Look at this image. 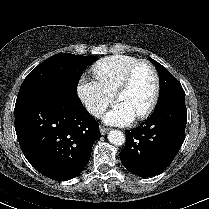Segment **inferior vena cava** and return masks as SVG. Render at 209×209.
<instances>
[{"mask_svg": "<svg viewBox=\"0 0 209 209\" xmlns=\"http://www.w3.org/2000/svg\"><path fill=\"white\" fill-rule=\"evenodd\" d=\"M87 110L90 114L94 115L95 117H101L105 112V107L99 104H88Z\"/></svg>", "mask_w": 209, "mask_h": 209, "instance_id": "602c4592", "label": "inferior vena cava"}]
</instances>
